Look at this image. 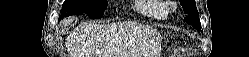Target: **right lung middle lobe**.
I'll use <instances>...</instances> for the list:
<instances>
[{
  "instance_id": "1",
  "label": "right lung middle lobe",
  "mask_w": 249,
  "mask_h": 57,
  "mask_svg": "<svg viewBox=\"0 0 249 57\" xmlns=\"http://www.w3.org/2000/svg\"><path fill=\"white\" fill-rule=\"evenodd\" d=\"M107 5V1L104 0H66L60 18L86 13L92 18L99 19L104 15Z\"/></svg>"
}]
</instances>
